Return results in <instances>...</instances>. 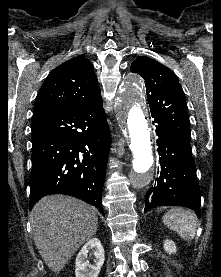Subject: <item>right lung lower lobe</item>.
<instances>
[{
    "mask_svg": "<svg viewBox=\"0 0 221 277\" xmlns=\"http://www.w3.org/2000/svg\"><path fill=\"white\" fill-rule=\"evenodd\" d=\"M102 98L82 107L35 113L29 208L43 196L79 198L102 214V190L110 148Z\"/></svg>",
    "mask_w": 221,
    "mask_h": 277,
    "instance_id": "98d812e1",
    "label": "right lung lower lobe"
}]
</instances>
